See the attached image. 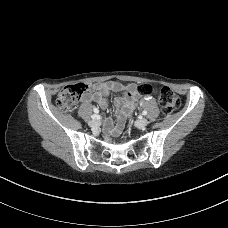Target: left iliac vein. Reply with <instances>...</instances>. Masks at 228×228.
<instances>
[{
    "label": "left iliac vein",
    "instance_id": "left-iliac-vein-1",
    "mask_svg": "<svg viewBox=\"0 0 228 228\" xmlns=\"http://www.w3.org/2000/svg\"><path fill=\"white\" fill-rule=\"evenodd\" d=\"M135 125L138 128H144L148 125V120L146 118H142V119L136 121Z\"/></svg>",
    "mask_w": 228,
    "mask_h": 228
}]
</instances>
